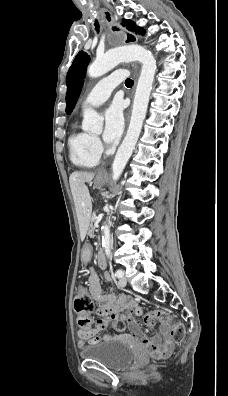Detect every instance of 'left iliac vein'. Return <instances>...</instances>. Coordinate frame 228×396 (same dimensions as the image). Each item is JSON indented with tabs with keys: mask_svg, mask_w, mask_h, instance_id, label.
<instances>
[{
	"mask_svg": "<svg viewBox=\"0 0 228 396\" xmlns=\"http://www.w3.org/2000/svg\"><path fill=\"white\" fill-rule=\"evenodd\" d=\"M118 284H119L120 287H125V286L127 285V280H126V278H125L124 276H122V277L119 279Z\"/></svg>",
	"mask_w": 228,
	"mask_h": 396,
	"instance_id": "1",
	"label": "left iliac vein"
}]
</instances>
